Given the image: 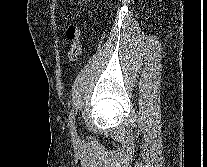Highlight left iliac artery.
Here are the masks:
<instances>
[{"mask_svg": "<svg viewBox=\"0 0 207 167\" xmlns=\"http://www.w3.org/2000/svg\"><path fill=\"white\" fill-rule=\"evenodd\" d=\"M69 126L73 136H76L75 116L73 110L69 114Z\"/></svg>", "mask_w": 207, "mask_h": 167, "instance_id": "left-iliac-artery-1", "label": "left iliac artery"}]
</instances>
